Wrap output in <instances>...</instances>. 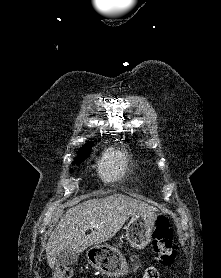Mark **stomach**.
<instances>
[{
    "label": "stomach",
    "instance_id": "0dacf381",
    "mask_svg": "<svg viewBox=\"0 0 221 278\" xmlns=\"http://www.w3.org/2000/svg\"><path fill=\"white\" fill-rule=\"evenodd\" d=\"M156 220L155 213L136 214L131 218L126 227V239L133 248L143 249L150 243ZM87 259L103 274L120 276L125 273L129 278H136L137 270H132L134 265L126 267L122 254L110 245L93 246L87 251Z\"/></svg>",
    "mask_w": 221,
    "mask_h": 278
}]
</instances>
